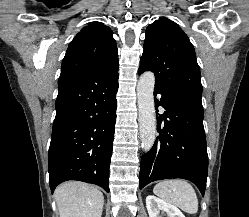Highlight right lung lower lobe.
Instances as JSON below:
<instances>
[{
    "mask_svg": "<svg viewBox=\"0 0 249 217\" xmlns=\"http://www.w3.org/2000/svg\"><path fill=\"white\" fill-rule=\"evenodd\" d=\"M118 63L95 74L59 77L49 148V182L79 180L109 192L118 90Z\"/></svg>",
    "mask_w": 249,
    "mask_h": 217,
    "instance_id": "right-lung-lower-lobe-1",
    "label": "right lung lower lobe"
}]
</instances>
